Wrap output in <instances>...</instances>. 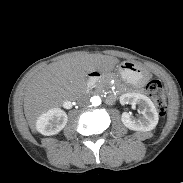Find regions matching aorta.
Listing matches in <instances>:
<instances>
[{
	"instance_id": "aorta-1",
	"label": "aorta",
	"mask_w": 183,
	"mask_h": 183,
	"mask_svg": "<svg viewBox=\"0 0 183 183\" xmlns=\"http://www.w3.org/2000/svg\"><path fill=\"white\" fill-rule=\"evenodd\" d=\"M90 102L93 106H99L101 104V98L99 96H93L91 97Z\"/></svg>"
}]
</instances>
